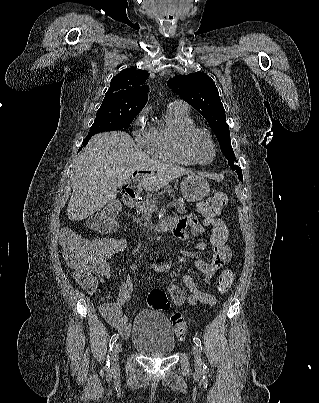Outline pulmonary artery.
Wrapping results in <instances>:
<instances>
[{
    "label": "pulmonary artery",
    "mask_w": 319,
    "mask_h": 403,
    "mask_svg": "<svg viewBox=\"0 0 319 403\" xmlns=\"http://www.w3.org/2000/svg\"><path fill=\"white\" fill-rule=\"evenodd\" d=\"M170 105H177V106H181L183 108H187V104L185 102H183L182 100H175L172 103H170Z\"/></svg>",
    "instance_id": "obj_1"
}]
</instances>
